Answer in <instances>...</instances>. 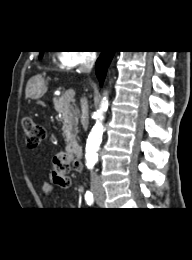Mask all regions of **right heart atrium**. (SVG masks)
<instances>
[{
  "mask_svg": "<svg viewBox=\"0 0 192 260\" xmlns=\"http://www.w3.org/2000/svg\"><path fill=\"white\" fill-rule=\"evenodd\" d=\"M92 59L90 52L86 51H61L58 54V61L61 67L72 69L88 63Z\"/></svg>",
  "mask_w": 192,
  "mask_h": 260,
  "instance_id": "d8ad5b80",
  "label": "right heart atrium"
}]
</instances>
